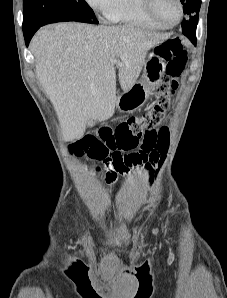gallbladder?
<instances>
[{
  "label": "gallbladder",
  "instance_id": "gallbladder-1",
  "mask_svg": "<svg viewBox=\"0 0 227 298\" xmlns=\"http://www.w3.org/2000/svg\"><path fill=\"white\" fill-rule=\"evenodd\" d=\"M92 123H93V122H91V123L89 124V126H91V125H92Z\"/></svg>",
  "mask_w": 227,
  "mask_h": 298
}]
</instances>
